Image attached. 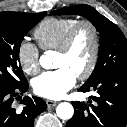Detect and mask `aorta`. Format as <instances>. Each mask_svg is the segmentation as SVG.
<instances>
[{
    "label": "aorta",
    "mask_w": 127,
    "mask_h": 127,
    "mask_svg": "<svg viewBox=\"0 0 127 127\" xmlns=\"http://www.w3.org/2000/svg\"><path fill=\"white\" fill-rule=\"evenodd\" d=\"M40 65L45 69H50L52 66V58L48 53L40 57ZM57 116L63 120H69L74 114L73 106L68 102L60 103L56 108Z\"/></svg>",
    "instance_id": "aorta-1"
}]
</instances>
